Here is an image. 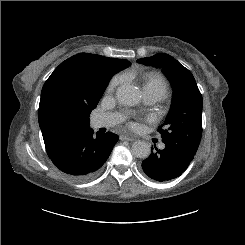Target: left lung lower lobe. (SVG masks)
Returning a JSON list of instances; mask_svg holds the SVG:
<instances>
[{
    "label": "left lung lower lobe",
    "instance_id": "left-lung-lower-lobe-1",
    "mask_svg": "<svg viewBox=\"0 0 245 245\" xmlns=\"http://www.w3.org/2000/svg\"><path fill=\"white\" fill-rule=\"evenodd\" d=\"M165 149L151 153L142 162L146 175L156 181H169L179 177L193 160L195 153L179 144L166 143Z\"/></svg>",
    "mask_w": 245,
    "mask_h": 245
}]
</instances>
